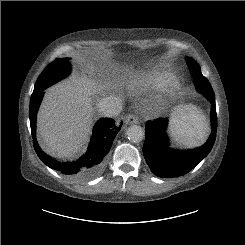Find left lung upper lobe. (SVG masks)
I'll list each match as a JSON object with an SVG mask.
<instances>
[{
    "instance_id": "obj_1",
    "label": "left lung upper lobe",
    "mask_w": 245,
    "mask_h": 245,
    "mask_svg": "<svg viewBox=\"0 0 245 245\" xmlns=\"http://www.w3.org/2000/svg\"><path fill=\"white\" fill-rule=\"evenodd\" d=\"M186 62L194 79L196 89L202 93L209 92V89H211L212 87L209 81L202 75L200 66L192 58L189 57H186Z\"/></svg>"
}]
</instances>
